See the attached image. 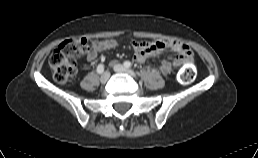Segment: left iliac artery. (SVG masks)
<instances>
[{
    "instance_id": "44dca946",
    "label": "left iliac artery",
    "mask_w": 258,
    "mask_h": 158,
    "mask_svg": "<svg viewBox=\"0 0 258 158\" xmlns=\"http://www.w3.org/2000/svg\"><path fill=\"white\" fill-rule=\"evenodd\" d=\"M124 66L127 67V68H130L132 66V64H131L130 61H125Z\"/></svg>"
}]
</instances>
